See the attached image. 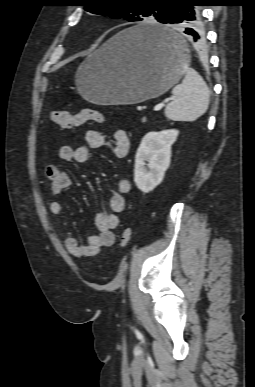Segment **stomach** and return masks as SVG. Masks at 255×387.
I'll list each match as a JSON object with an SVG mask.
<instances>
[{"label": "stomach", "mask_w": 255, "mask_h": 387, "mask_svg": "<svg viewBox=\"0 0 255 387\" xmlns=\"http://www.w3.org/2000/svg\"><path fill=\"white\" fill-rule=\"evenodd\" d=\"M169 31L156 23H140L110 38L79 66L75 83L83 98L102 105L135 104L156 98L183 77L189 52L182 37L177 44L154 43L145 30Z\"/></svg>", "instance_id": "stomach-1"}]
</instances>
